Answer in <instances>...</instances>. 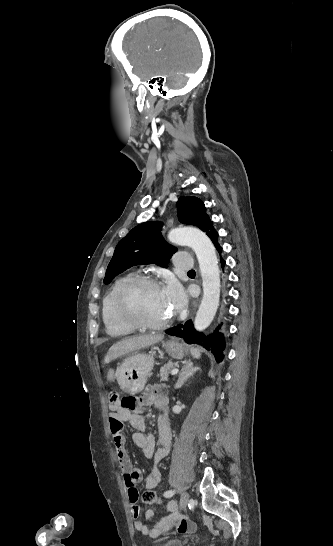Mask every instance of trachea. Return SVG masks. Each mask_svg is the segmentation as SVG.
Masks as SVG:
<instances>
[{"label": "trachea", "instance_id": "obj_1", "mask_svg": "<svg viewBox=\"0 0 333 546\" xmlns=\"http://www.w3.org/2000/svg\"><path fill=\"white\" fill-rule=\"evenodd\" d=\"M188 273H195V271H194V270H190V271H188Z\"/></svg>", "mask_w": 333, "mask_h": 546}]
</instances>
